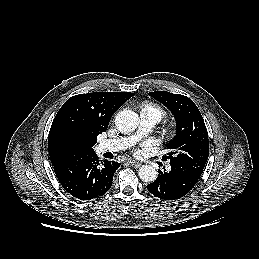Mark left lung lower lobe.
Segmentation results:
<instances>
[{"mask_svg": "<svg viewBox=\"0 0 259 259\" xmlns=\"http://www.w3.org/2000/svg\"><path fill=\"white\" fill-rule=\"evenodd\" d=\"M170 165L169 172L158 170L157 179L147 185L151 194L164 200L182 198L190 192L199 179L182 166L172 163Z\"/></svg>", "mask_w": 259, "mask_h": 259, "instance_id": "obj_1", "label": "left lung lower lobe"}]
</instances>
